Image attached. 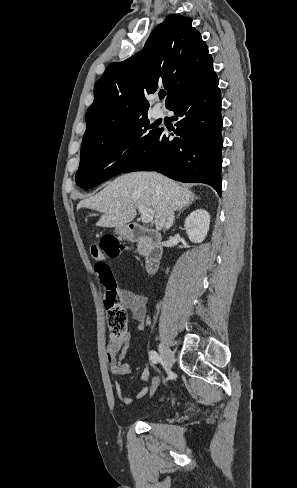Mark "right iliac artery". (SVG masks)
<instances>
[{"label":"right iliac artery","mask_w":297,"mask_h":488,"mask_svg":"<svg viewBox=\"0 0 297 488\" xmlns=\"http://www.w3.org/2000/svg\"><path fill=\"white\" fill-rule=\"evenodd\" d=\"M149 357H150L151 362L154 364H157L160 361V357H159L158 353H156V351L152 350L150 352Z\"/></svg>","instance_id":"82829eb1"}]
</instances>
